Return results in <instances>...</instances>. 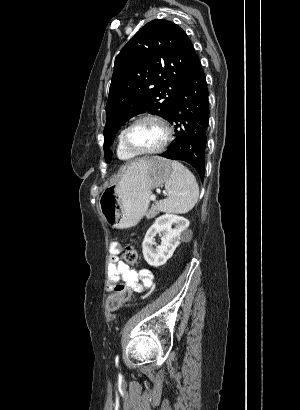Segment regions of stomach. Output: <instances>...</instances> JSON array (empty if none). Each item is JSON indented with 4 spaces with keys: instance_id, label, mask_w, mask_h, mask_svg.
I'll return each instance as SVG.
<instances>
[{
    "instance_id": "0dacf381",
    "label": "stomach",
    "mask_w": 300,
    "mask_h": 410,
    "mask_svg": "<svg viewBox=\"0 0 300 410\" xmlns=\"http://www.w3.org/2000/svg\"><path fill=\"white\" fill-rule=\"evenodd\" d=\"M171 173V161L160 157H153L144 165L127 167L122 178L101 194L102 216L113 228L135 226L148 209L152 190L163 185Z\"/></svg>"
}]
</instances>
